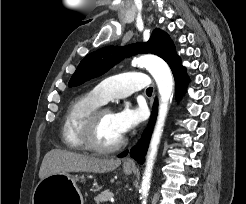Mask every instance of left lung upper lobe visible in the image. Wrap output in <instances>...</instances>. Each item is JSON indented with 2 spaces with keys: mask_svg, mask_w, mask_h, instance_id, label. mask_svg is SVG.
<instances>
[{
  "mask_svg": "<svg viewBox=\"0 0 246 204\" xmlns=\"http://www.w3.org/2000/svg\"><path fill=\"white\" fill-rule=\"evenodd\" d=\"M136 53H152L164 59L171 66L179 58L170 37L162 30L155 29L146 43L125 47L108 46L88 54L78 65L68 86L74 87L105 73L124 57Z\"/></svg>",
  "mask_w": 246,
  "mask_h": 204,
  "instance_id": "5c2ea615",
  "label": "left lung upper lobe"
}]
</instances>
